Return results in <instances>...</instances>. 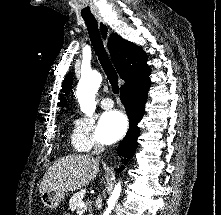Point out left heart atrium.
<instances>
[{
  "label": "left heart atrium",
  "instance_id": "1",
  "mask_svg": "<svg viewBox=\"0 0 221 215\" xmlns=\"http://www.w3.org/2000/svg\"><path fill=\"white\" fill-rule=\"evenodd\" d=\"M128 121L126 116L117 110L104 113L99 121V134L105 142H114L126 132Z\"/></svg>",
  "mask_w": 221,
  "mask_h": 215
}]
</instances>
